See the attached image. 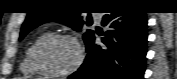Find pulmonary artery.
I'll use <instances>...</instances> for the list:
<instances>
[{"label":"pulmonary artery","mask_w":177,"mask_h":79,"mask_svg":"<svg viewBox=\"0 0 177 79\" xmlns=\"http://www.w3.org/2000/svg\"><path fill=\"white\" fill-rule=\"evenodd\" d=\"M96 19H97V21H100V18H99V17H97Z\"/></svg>","instance_id":"1"}]
</instances>
